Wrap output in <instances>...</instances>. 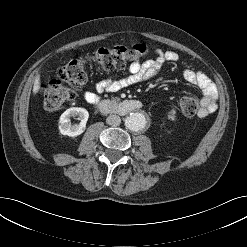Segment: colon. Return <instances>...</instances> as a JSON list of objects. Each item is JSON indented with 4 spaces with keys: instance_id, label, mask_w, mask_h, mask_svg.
Returning <instances> with one entry per match:
<instances>
[{
    "instance_id": "obj_1",
    "label": "colon",
    "mask_w": 247,
    "mask_h": 247,
    "mask_svg": "<svg viewBox=\"0 0 247 247\" xmlns=\"http://www.w3.org/2000/svg\"><path fill=\"white\" fill-rule=\"evenodd\" d=\"M147 53L145 45L137 44L132 48L122 46L101 47L85 57L74 58L58 68L56 78L41 85L40 93L44 106L55 109L73 101L78 91L87 82L86 66L94 64L105 71L123 68L127 63L139 60ZM199 108L196 98L183 97L180 109L185 116H194Z\"/></svg>"
}]
</instances>
